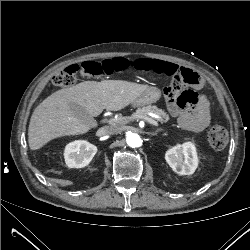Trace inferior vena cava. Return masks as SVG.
<instances>
[{
    "mask_svg": "<svg viewBox=\"0 0 250 250\" xmlns=\"http://www.w3.org/2000/svg\"><path fill=\"white\" fill-rule=\"evenodd\" d=\"M120 131V129L116 126H105L102 128L103 134H116Z\"/></svg>",
    "mask_w": 250,
    "mask_h": 250,
    "instance_id": "inferior-vena-cava-1",
    "label": "inferior vena cava"
}]
</instances>
